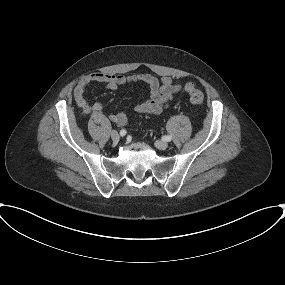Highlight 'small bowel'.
I'll use <instances>...</instances> for the list:
<instances>
[{
	"label": "small bowel",
	"mask_w": 285,
	"mask_h": 285,
	"mask_svg": "<svg viewBox=\"0 0 285 285\" xmlns=\"http://www.w3.org/2000/svg\"><path fill=\"white\" fill-rule=\"evenodd\" d=\"M94 82L106 83L110 90H116L122 85L131 83L146 84L149 89V98L137 104L134 108L140 114H159L173 96L182 89L181 82L171 77H162L159 79L150 74L127 76L103 72L92 73L79 81L74 89L75 101L84 115L100 113L103 110V105L100 102L90 103L85 97L88 86ZM108 117L112 122L121 126L128 123L125 112L112 113Z\"/></svg>",
	"instance_id": "c3829d8e"
}]
</instances>
